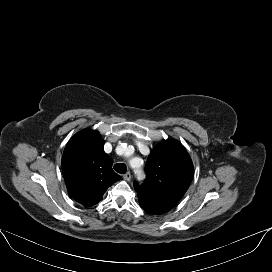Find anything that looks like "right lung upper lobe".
<instances>
[{"mask_svg": "<svg viewBox=\"0 0 272 272\" xmlns=\"http://www.w3.org/2000/svg\"><path fill=\"white\" fill-rule=\"evenodd\" d=\"M98 131L83 130L67 143L62 170L72 198L83 206L98 203L107 188L122 179L112 170L113 160L104 152Z\"/></svg>", "mask_w": 272, "mask_h": 272, "instance_id": "cb5924a9", "label": "right lung upper lobe"}]
</instances>
